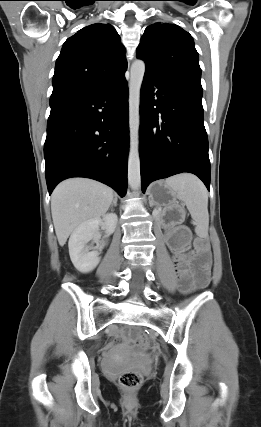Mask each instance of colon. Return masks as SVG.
I'll return each instance as SVG.
<instances>
[{"mask_svg":"<svg viewBox=\"0 0 261 427\" xmlns=\"http://www.w3.org/2000/svg\"><path fill=\"white\" fill-rule=\"evenodd\" d=\"M134 342L142 350H146L149 346L148 340L144 335L136 334ZM143 382V376L138 372H125L119 377V385L126 391H134L138 389Z\"/></svg>","mask_w":261,"mask_h":427,"instance_id":"1","label":"colon"}]
</instances>
